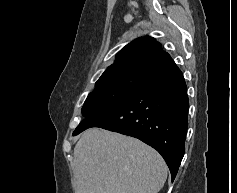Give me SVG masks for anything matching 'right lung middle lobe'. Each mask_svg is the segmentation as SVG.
<instances>
[{"label": "right lung middle lobe", "instance_id": "right-lung-middle-lobe-1", "mask_svg": "<svg viewBox=\"0 0 237 193\" xmlns=\"http://www.w3.org/2000/svg\"><path fill=\"white\" fill-rule=\"evenodd\" d=\"M144 74L145 71H131L98 80L82 107V115L87 119L119 105L138 88Z\"/></svg>", "mask_w": 237, "mask_h": 193}]
</instances>
